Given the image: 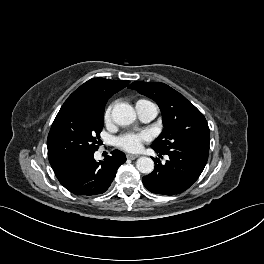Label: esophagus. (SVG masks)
I'll list each match as a JSON object with an SVG mask.
<instances>
[{
  "label": "esophagus",
  "instance_id": "1",
  "mask_svg": "<svg viewBox=\"0 0 264 264\" xmlns=\"http://www.w3.org/2000/svg\"><path fill=\"white\" fill-rule=\"evenodd\" d=\"M139 156L138 155H134V154H127L126 155V158L127 159H130V160H134V159H136V158H138Z\"/></svg>",
  "mask_w": 264,
  "mask_h": 264
}]
</instances>
